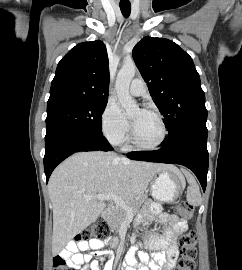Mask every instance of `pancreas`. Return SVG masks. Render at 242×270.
<instances>
[{"mask_svg":"<svg viewBox=\"0 0 242 270\" xmlns=\"http://www.w3.org/2000/svg\"><path fill=\"white\" fill-rule=\"evenodd\" d=\"M144 201V197L141 198L139 201H129L128 205L132 208L133 210V215L136 214L139 211V208L141 206V203ZM127 212L119 207L116 206L111 214L109 215V217L107 218V223L109 225V227L114 230V231H118L121 227V224L124 222V220L127 217Z\"/></svg>","mask_w":242,"mask_h":270,"instance_id":"1","label":"pancreas"}]
</instances>
